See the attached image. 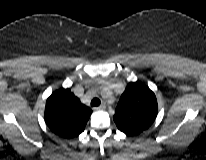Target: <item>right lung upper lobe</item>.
I'll return each instance as SVG.
<instances>
[{"label":"right lung upper lobe","mask_w":206,"mask_h":160,"mask_svg":"<svg viewBox=\"0 0 206 160\" xmlns=\"http://www.w3.org/2000/svg\"><path fill=\"white\" fill-rule=\"evenodd\" d=\"M92 111L68 89L54 91L46 101L44 118L50 130L63 137L81 134Z\"/></svg>","instance_id":"right-lung-upper-lobe-1"}]
</instances>
